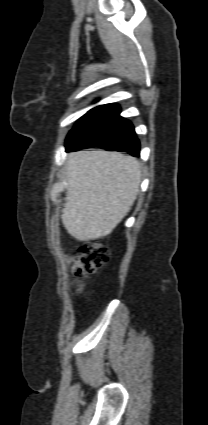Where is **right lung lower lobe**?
<instances>
[{"instance_id":"1","label":"right lung lower lobe","mask_w":208,"mask_h":425,"mask_svg":"<svg viewBox=\"0 0 208 425\" xmlns=\"http://www.w3.org/2000/svg\"><path fill=\"white\" fill-rule=\"evenodd\" d=\"M117 104L91 109L81 117L66 139V152L88 147L129 152L139 157L140 144L130 121L121 117Z\"/></svg>"}]
</instances>
